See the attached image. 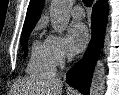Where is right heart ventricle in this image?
<instances>
[{
	"label": "right heart ventricle",
	"instance_id": "e07e8e85",
	"mask_svg": "<svg viewBox=\"0 0 119 95\" xmlns=\"http://www.w3.org/2000/svg\"><path fill=\"white\" fill-rule=\"evenodd\" d=\"M55 67L46 40H36L31 48L27 72L34 76H52L55 73Z\"/></svg>",
	"mask_w": 119,
	"mask_h": 95
}]
</instances>
